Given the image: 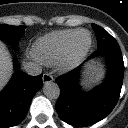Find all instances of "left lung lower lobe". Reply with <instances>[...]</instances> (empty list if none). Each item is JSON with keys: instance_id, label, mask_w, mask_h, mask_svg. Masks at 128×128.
I'll list each match as a JSON object with an SVG mask.
<instances>
[{"instance_id": "0a47b994", "label": "left lung lower lobe", "mask_w": 128, "mask_h": 128, "mask_svg": "<svg viewBox=\"0 0 128 128\" xmlns=\"http://www.w3.org/2000/svg\"><path fill=\"white\" fill-rule=\"evenodd\" d=\"M104 56L109 64L104 84L93 92L80 90L79 68L58 77L60 97L56 103L59 116L68 124L78 127L92 125L105 118L115 107L124 75V62L118 43L98 48L91 56Z\"/></svg>"}]
</instances>
